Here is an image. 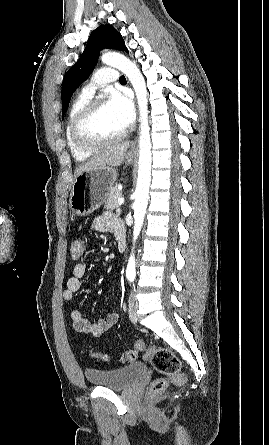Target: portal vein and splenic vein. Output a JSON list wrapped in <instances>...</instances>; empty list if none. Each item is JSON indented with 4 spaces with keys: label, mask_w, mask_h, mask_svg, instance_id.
Segmentation results:
<instances>
[{
    "label": "portal vein and splenic vein",
    "mask_w": 269,
    "mask_h": 445,
    "mask_svg": "<svg viewBox=\"0 0 269 445\" xmlns=\"http://www.w3.org/2000/svg\"><path fill=\"white\" fill-rule=\"evenodd\" d=\"M124 198L123 197H120V198H118V200H117V202H118V204L119 205H122V204H124Z\"/></svg>",
    "instance_id": "1"
}]
</instances>
